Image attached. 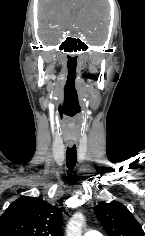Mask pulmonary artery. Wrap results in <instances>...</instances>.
Segmentation results:
<instances>
[{
	"label": "pulmonary artery",
	"mask_w": 145,
	"mask_h": 236,
	"mask_svg": "<svg viewBox=\"0 0 145 236\" xmlns=\"http://www.w3.org/2000/svg\"><path fill=\"white\" fill-rule=\"evenodd\" d=\"M84 236H102V235L96 230H88L85 232Z\"/></svg>",
	"instance_id": "obj_1"
}]
</instances>
